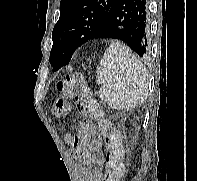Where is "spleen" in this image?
<instances>
[{
	"label": "spleen",
	"mask_w": 197,
	"mask_h": 181,
	"mask_svg": "<svg viewBox=\"0 0 197 181\" xmlns=\"http://www.w3.org/2000/svg\"><path fill=\"white\" fill-rule=\"evenodd\" d=\"M99 98L116 110L134 108L148 96V74L132 51L119 41L106 49L97 69Z\"/></svg>",
	"instance_id": "1"
}]
</instances>
